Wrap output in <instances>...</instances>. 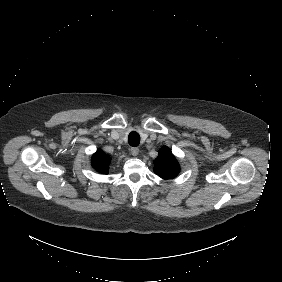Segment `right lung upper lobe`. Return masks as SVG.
<instances>
[{
    "label": "right lung upper lobe",
    "mask_w": 282,
    "mask_h": 282,
    "mask_svg": "<svg viewBox=\"0 0 282 282\" xmlns=\"http://www.w3.org/2000/svg\"><path fill=\"white\" fill-rule=\"evenodd\" d=\"M111 158L105 155L102 150H98L92 157V166L93 168L103 174H107L109 170V164Z\"/></svg>",
    "instance_id": "cb5924a9"
}]
</instances>
